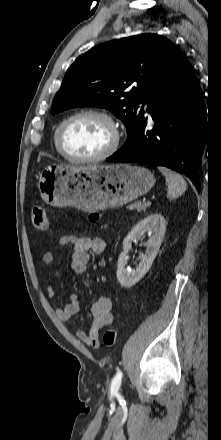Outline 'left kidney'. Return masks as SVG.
Masks as SVG:
<instances>
[{"instance_id":"5707ae66","label":"left kidney","mask_w":221,"mask_h":440,"mask_svg":"<svg viewBox=\"0 0 221 440\" xmlns=\"http://www.w3.org/2000/svg\"><path fill=\"white\" fill-rule=\"evenodd\" d=\"M165 230V218L159 213H154L138 222L128 233L123 240V251L119 256L117 263V279L122 287H132L147 273L159 251ZM146 233H148L149 237L145 243L146 253L136 269L129 271L126 268V264L132 242L144 238Z\"/></svg>"}]
</instances>
